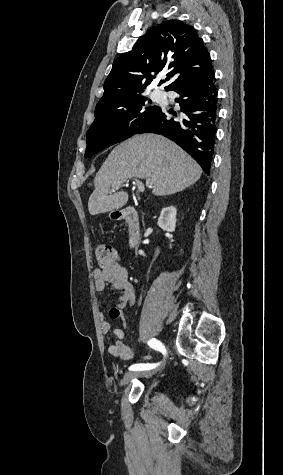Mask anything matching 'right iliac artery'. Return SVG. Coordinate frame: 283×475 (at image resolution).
I'll use <instances>...</instances> for the list:
<instances>
[{
    "instance_id": "1",
    "label": "right iliac artery",
    "mask_w": 283,
    "mask_h": 475,
    "mask_svg": "<svg viewBox=\"0 0 283 475\" xmlns=\"http://www.w3.org/2000/svg\"><path fill=\"white\" fill-rule=\"evenodd\" d=\"M148 345L155 349V350H158L160 351L163 355L166 354V349H165V346L160 342L158 341L157 339L155 338H152L151 340L148 341ZM160 363H153V364H134L132 366H130L129 370H133V371H143V370H150V369H153L155 367H157Z\"/></svg>"
}]
</instances>
